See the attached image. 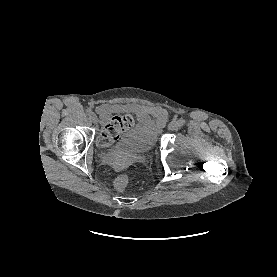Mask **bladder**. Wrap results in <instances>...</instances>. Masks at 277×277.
Listing matches in <instances>:
<instances>
[{"mask_svg": "<svg viewBox=\"0 0 277 277\" xmlns=\"http://www.w3.org/2000/svg\"><path fill=\"white\" fill-rule=\"evenodd\" d=\"M159 128L152 120L141 119L111 147L114 152L145 153L156 144Z\"/></svg>", "mask_w": 277, "mask_h": 277, "instance_id": "bladder-1", "label": "bladder"}]
</instances>
